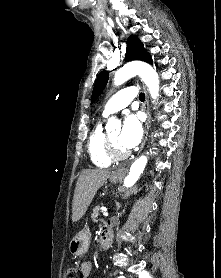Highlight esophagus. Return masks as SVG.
Instances as JSON below:
<instances>
[{
    "label": "esophagus",
    "mask_w": 221,
    "mask_h": 278,
    "mask_svg": "<svg viewBox=\"0 0 221 278\" xmlns=\"http://www.w3.org/2000/svg\"><path fill=\"white\" fill-rule=\"evenodd\" d=\"M145 91H146V99H145V103H144V110L146 112L147 118H146V121L144 124V135H143L142 143L140 146V151L145 146V143L147 140V135H148V130H149L150 118H151L150 111H149V97H148V93H147L146 89H145ZM125 170H126V168L118 169L114 174L117 176H123L125 173Z\"/></svg>",
    "instance_id": "esophagus-1"
}]
</instances>
